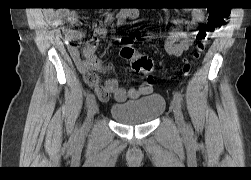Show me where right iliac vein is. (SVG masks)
<instances>
[{"instance_id": "63e3f726", "label": "right iliac vein", "mask_w": 251, "mask_h": 180, "mask_svg": "<svg viewBox=\"0 0 251 180\" xmlns=\"http://www.w3.org/2000/svg\"><path fill=\"white\" fill-rule=\"evenodd\" d=\"M97 111H98V104L94 101L88 108L87 118L84 124L85 130H87L90 127L91 121L94 115L97 113Z\"/></svg>"}]
</instances>
